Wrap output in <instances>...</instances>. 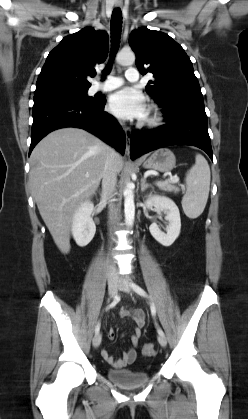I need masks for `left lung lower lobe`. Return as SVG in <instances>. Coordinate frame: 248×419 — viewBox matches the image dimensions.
Returning <instances> with one entry per match:
<instances>
[{"label": "left lung lower lobe", "mask_w": 248, "mask_h": 419, "mask_svg": "<svg viewBox=\"0 0 248 419\" xmlns=\"http://www.w3.org/2000/svg\"><path fill=\"white\" fill-rule=\"evenodd\" d=\"M165 125L156 129L134 130L130 140V156L135 159L147 152L169 145H193L212 157L204 105L190 104L162 111Z\"/></svg>", "instance_id": "left-lung-lower-lobe-1"}]
</instances>
